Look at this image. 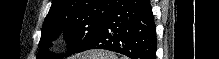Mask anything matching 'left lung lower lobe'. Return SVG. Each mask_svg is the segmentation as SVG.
<instances>
[{"label":"left lung lower lobe","instance_id":"1","mask_svg":"<svg viewBox=\"0 0 219 59\" xmlns=\"http://www.w3.org/2000/svg\"><path fill=\"white\" fill-rule=\"evenodd\" d=\"M105 49L131 59H156V25L149 0H113L95 36L76 53Z\"/></svg>","mask_w":219,"mask_h":59}]
</instances>
